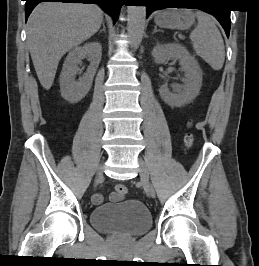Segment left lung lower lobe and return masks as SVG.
I'll use <instances>...</instances> for the list:
<instances>
[{"label":"left lung lower lobe","mask_w":259,"mask_h":266,"mask_svg":"<svg viewBox=\"0 0 259 266\" xmlns=\"http://www.w3.org/2000/svg\"><path fill=\"white\" fill-rule=\"evenodd\" d=\"M146 6V16L148 17L154 10H159L162 8H173L181 7V5H192V6H203L198 9H201L205 12H208L216 17L224 28L226 35L229 36L230 32V10L223 8H214L206 4H209L210 0H140Z\"/></svg>","instance_id":"0a47b994"}]
</instances>
